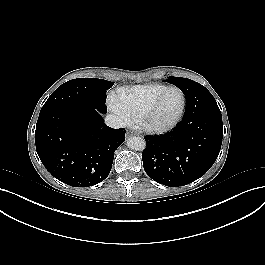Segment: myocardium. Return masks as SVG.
I'll list each match as a JSON object with an SVG mask.
<instances>
[{
    "label": "myocardium",
    "mask_w": 265,
    "mask_h": 265,
    "mask_svg": "<svg viewBox=\"0 0 265 265\" xmlns=\"http://www.w3.org/2000/svg\"><path fill=\"white\" fill-rule=\"evenodd\" d=\"M178 91L181 95V106L178 111V113L168 122L164 124H155L151 121V117L156 110L157 106L161 102L162 98L168 91ZM186 95L184 91L177 87V86H167L165 89H163L151 102L149 107L147 108L146 112L144 113L142 119L139 122V127L143 129L144 131L151 133V134H164L172 129H174L178 123L181 121V119L184 116L185 109H186Z\"/></svg>",
    "instance_id": "1"
}]
</instances>
